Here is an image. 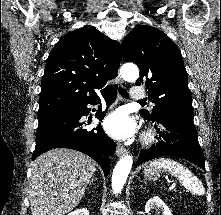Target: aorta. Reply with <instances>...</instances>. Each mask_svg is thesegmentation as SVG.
<instances>
[{
	"label": "aorta",
	"instance_id": "obj_1",
	"mask_svg": "<svg viewBox=\"0 0 221 215\" xmlns=\"http://www.w3.org/2000/svg\"><path fill=\"white\" fill-rule=\"evenodd\" d=\"M120 74L125 81L134 82L139 77V69L135 64L127 63L121 67ZM133 158L130 155L122 157L116 164L112 174V190L121 192L132 168Z\"/></svg>",
	"mask_w": 221,
	"mask_h": 215
}]
</instances>
